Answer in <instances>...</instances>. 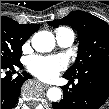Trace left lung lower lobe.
I'll return each mask as SVG.
<instances>
[{
    "mask_svg": "<svg viewBox=\"0 0 109 109\" xmlns=\"http://www.w3.org/2000/svg\"><path fill=\"white\" fill-rule=\"evenodd\" d=\"M63 76L78 83L62 87L63 99L52 104L54 109H99L109 96V65L96 64L78 75Z\"/></svg>",
    "mask_w": 109,
    "mask_h": 109,
    "instance_id": "0a47b994",
    "label": "left lung lower lobe"
}]
</instances>
